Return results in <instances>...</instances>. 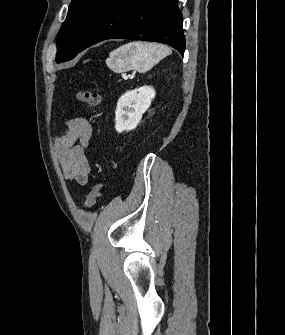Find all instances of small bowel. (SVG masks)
Returning <instances> with one entry per match:
<instances>
[{
  "mask_svg": "<svg viewBox=\"0 0 285 335\" xmlns=\"http://www.w3.org/2000/svg\"><path fill=\"white\" fill-rule=\"evenodd\" d=\"M67 131L55 142V150L66 180L85 185L88 182L90 164L86 149L90 146L92 126L85 118L66 122Z\"/></svg>",
  "mask_w": 285,
  "mask_h": 335,
  "instance_id": "1",
  "label": "small bowel"
}]
</instances>
